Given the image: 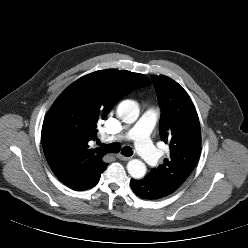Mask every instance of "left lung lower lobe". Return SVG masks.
I'll return each mask as SVG.
<instances>
[{
  "instance_id": "1",
  "label": "left lung lower lobe",
  "mask_w": 248,
  "mask_h": 248,
  "mask_svg": "<svg viewBox=\"0 0 248 248\" xmlns=\"http://www.w3.org/2000/svg\"><path fill=\"white\" fill-rule=\"evenodd\" d=\"M130 183L133 191L143 199L156 200L167 196L157 185L149 182L146 178L131 179Z\"/></svg>"
}]
</instances>
